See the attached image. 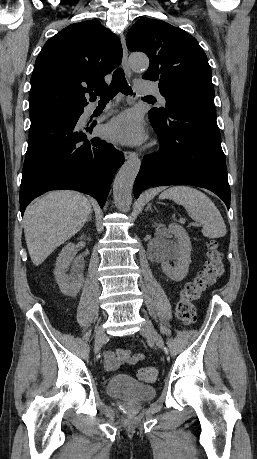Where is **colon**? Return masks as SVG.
Instances as JSON below:
<instances>
[{
  "label": "colon",
  "instance_id": "5ec220e1",
  "mask_svg": "<svg viewBox=\"0 0 257 459\" xmlns=\"http://www.w3.org/2000/svg\"><path fill=\"white\" fill-rule=\"evenodd\" d=\"M223 273V254L219 244L211 240L207 244V261L196 278L186 283L180 292L179 301L176 305V316L185 325H191L196 321V308L194 301ZM158 376V369L146 367L138 372V377L144 382H152Z\"/></svg>",
  "mask_w": 257,
  "mask_h": 459
}]
</instances>
